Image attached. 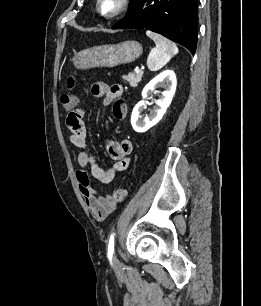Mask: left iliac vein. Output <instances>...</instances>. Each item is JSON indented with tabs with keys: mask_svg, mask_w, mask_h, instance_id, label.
Instances as JSON below:
<instances>
[{
	"mask_svg": "<svg viewBox=\"0 0 261 306\" xmlns=\"http://www.w3.org/2000/svg\"><path fill=\"white\" fill-rule=\"evenodd\" d=\"M113 263H114L115 266H119L120 265V262H119V260L116 257H114Z\"/></svg>",
	"mask_w": 261,
	"mask_h": 306,
	"instance_id": "left-iliac-vein-1",
	"label": "left iliac vein"
}]
</instances>
